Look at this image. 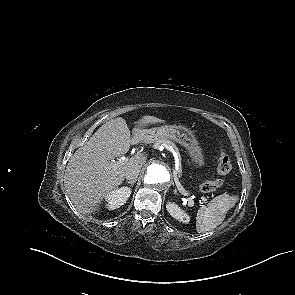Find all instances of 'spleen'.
I'll return each mask as SVG.
<instances>
[{
    "mask_svg": "<svg viewBox=\"0 0 295 295\" xmlns=\"http://www.w3.org/2000/svg\"><path fill=\"white\" fill-rule=\"evenodd\" d=\"M237 200V196L222 194L215 197L207 205H202L197 212L196 231L204 233L219 226Z\"/></svg>",
    "mask_w": 295,
    "mask_h": 295,
    "instance_id": "1",
    "label": "spleen"
}]
</instances>
